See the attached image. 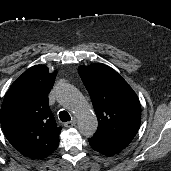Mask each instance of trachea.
I'll list each match as a JSON object with an SVG mask.
<instances>
[{"instance_id": "1", "label": "trachea", "mask_w": 171, "mask_h": 171, "mask_svg": "<svg viewBox=\"0 0 171 171\" xmlns=\"http://www.w3.org/2000/svg\"><path fill=\"white\" fill-rule=\"evenodd\" d=\"M59 118L62 122H68L71 120L70 115L66 111H60Z\"/></svg>"}]
</instances>
